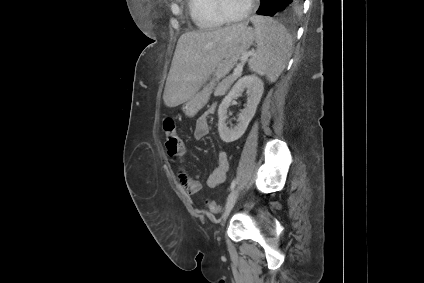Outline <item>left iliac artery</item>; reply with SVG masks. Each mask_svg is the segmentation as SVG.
Listing matches in <instances>:
<instances>
[{
  "label": "left iliac artery",
  "mask_w": 424,
  "mask_h": 283,
  "mask_svg": "<svg viewBox=\"0 0 424 283\" xmlns=\"http://www.w3.org/2000/svg\"><path fill=\"white\" fill-rule=\"evenodd\" d=\"M236 185V180L234 179L231 183L230 190H233Z\"/></svg>",
  "instance_id": "obj_1"
}]
</instances>
